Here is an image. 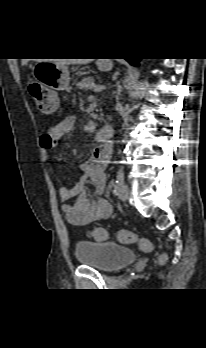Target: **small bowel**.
Masks as SVG:
<instances>
[{
  "label": "small bowel",
  "mask_w": 206,
  "mask_h": 348,
  "mask_svg": "<svg viewBox=\"0 0 206 348\" xmlns=\"http://www.w3.org/2000/svg\"><path fill=\"white\" fill-rule=\"evenodd\" d=\"M75 117L66 116L54 124L47 133L41 136L40 146L47 159L48 152L54 149L59 142L73 130ZM111 151L108 147H97L91 160L81 164L82 177L73 187H61L59 190L62 201V211L69 223L73 225H86L91 222L107 219L112 214L110 203L103 199H91L85 182L91 181L98 192L106 185L107 163Z\"/></svg>",
  "instance_id": "1"
}]
</instances>
